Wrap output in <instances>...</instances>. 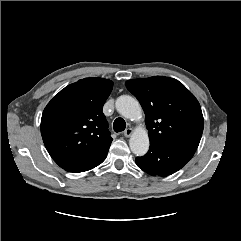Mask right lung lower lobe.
<instances>
[{
  "label": "right lung lower lobe",
  "mask_w": 241,
  "mask_h": 241,
  "mask_svg": "<svg viewBox=\"0 0 241 241\" xmlns=\"http://www.w3.org/2000/svg\"><path fill=\"white\" fill-rule=\"evenodd\" d=\"M109 147L110 146L104 148L103 150L91 157L66 163L61 166V168L68 172H84L90 170L98 166L105 160Z\"/></svg>",
  "instance_id": "obj_1"
}]
</instances>
